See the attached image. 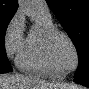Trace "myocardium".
<instances>
[{"label": "myocardium", "instance_id": "myocardium-1", "mask_svg": "<svg viewBox=\"0 0 89 89\" xmlns=\"http://www.w3.org/2000/svg\"><path fill=\"white\" fill-rule=\"evenodd\" d=\"M59 38L65 39L74 51L76 62H75V66L71 69L64 70L61 68V65L59 63V60H58V57H57L56 51H55L56 41ZM45 41H46V49H47L48 56L51 59L53 65L58 70H60L63 74L66 75L70 72L75 71L78 68L79 63H80V57H79L78 49H77L74 41L72 40V38L66 32H64L60 29H57V28L52 29L51 31H49L47 33Z\"/></svg>", "mask_w": 89, "mask_h": 89}]
</instances>
